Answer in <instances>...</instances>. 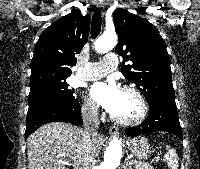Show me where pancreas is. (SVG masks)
I'll use <instances>...</instances> for the list:
<instances>
[{"mask_svg": "<svg viewBox=\"0 0 200 169\" xmlns=\"http://www.w3.org/2000/svg\"><path fill=\"white\" fill-rule=\"evenodd\" d=\"M135 169H153V167L146 162H138V161H133L131 163Z\"/></svg>", "mask_w": 200, "mask_h": 169, "instance_id": "1", "label": "pancreas"}]
</instances>
